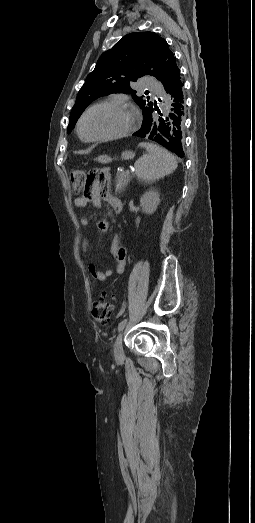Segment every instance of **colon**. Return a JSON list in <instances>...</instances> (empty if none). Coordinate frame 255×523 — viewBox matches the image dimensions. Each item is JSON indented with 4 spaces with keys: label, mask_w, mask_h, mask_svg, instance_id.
<instances>
[{
    "label": "colon",
    "mask_w": 255,
    "mask_h": 523,
    "mask_svg": "<svg viewBox=\"0 0 255 523\" xmlns=\"http://www.w3.org/2000/svg\"><path fill=\"white\" fill-rule=\"evenodd\" d=\"M70 180L74 192L83 191L87 186L85 173L81 169H72L70 171ZM113 304L107 295L102 296L96 301L92 308L94 319L101 324H108L111 321Z\"/></svg>",
    "instance_id": "1"
}]
</instances>
